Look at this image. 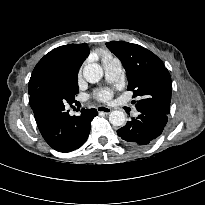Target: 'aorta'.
I'll return each mask as SVG.
<instances>
[{
  "label": "aorta",
  "instance_id": "762f6f07",
  "mask_svg": "<svg viewBox=\"0 0 205 205\" xmlns=\"http://www.w3.org/2000/svg\"><path fill=\"white\" fill-rule=\"evenodd\" d=\"M83 76L89 83H97L103 77V69L97 63L87 64L83 68ZM109 121L113 126H123L126 121L124 112L115 110L109 115Z\"/></svg>",
  "mask_w": 205,
  "mask_h": 205
}]
</instances>
